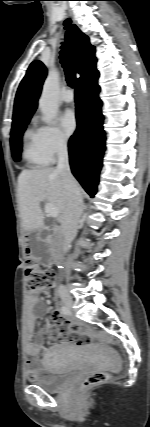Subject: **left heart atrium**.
Instances as JSON below:
<instances>
[{"instance_id": "1", "label": "left heart atrium", "mask_w": 150, "mask_h": 427, "mask_svg": "<svg viewBox=\"0 0 150 427\" xmlns=\"http://www.w3.org/2000/svg\"><path fill=\"white\" fill-rule=\"evenodd\" d=\"M60 121H61V126L64 132L66 133V135L69 136L75 131L77 127V120L73 110L71 109L66 110L62 114Z\"/></svg>"}]
</instances>
